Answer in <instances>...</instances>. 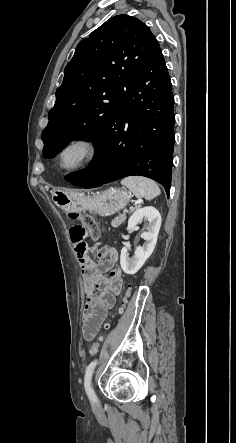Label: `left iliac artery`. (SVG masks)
<instances>
[{
  "label": "left iliac artery",
  "instance_id": "1",
  "mask_svg": "<svg viewBox=\"0 0 236 443\" xmlns=\"http://www.w3.org/2000/svg\"><path fill=\"white\" fill-rule=\"evenodd\" d=\"M98 361L94 360L92 361L86 368V372H85V381H84V386H85V391L89 397V399L92 402H95L97 400V396L94 392L93 386H92V375L94 372V369L97 365Z\"/></svg>",
  "mask_w": 236,
  "mask_h": 443
}]
</instances>
